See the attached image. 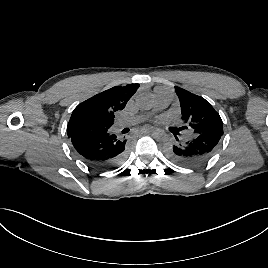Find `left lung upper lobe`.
<instances>
[{
	"label": "left lung upper lobe",
	"instance_id": "1",
	"mask_svg": "<svg viewBox=\"0 0 268 268\" xmlns=\"http://www.w3.org/2000/svg\"><path fill=\"white\" fill-rule=\"evenodd\" d=\"M181 106L182 120L193 135L219 133L223 135V122L220 115L204 98L175 87ZM184 128L187 129L186 126Z\"/></svg>",
	"mask_w": 268,
	"mask_h": 268
}]
</instances>
